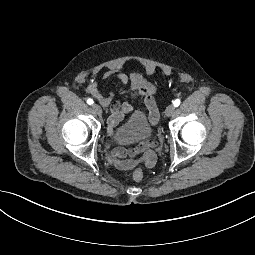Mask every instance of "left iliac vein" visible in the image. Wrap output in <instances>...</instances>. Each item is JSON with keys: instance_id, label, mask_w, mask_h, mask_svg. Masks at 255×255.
I'll use <instances>...</instances> for the list:
<instances>
[{"instance_id": "obj_1", "label": "left iliac vein", "mask_w": 255, "mask_h": 255, "mask_svg": "<svg viewBox=\"0 0 255 255\" xmlns=\"http://www.w3.org/2000/svg\"><path fill=\"white\" fill-rule=\"evenodd\" d=\"M175 111V106L174 105H169L167 106L166 110H165V116L166 117H170Z\"/></svg>"}]
</instances>
